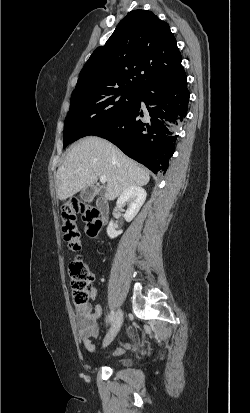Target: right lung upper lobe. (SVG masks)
<instances>
[{"mask_svg":"<svg viewBox=\"0 0 250 413\" xmlns=\"http://www.w3.org/2000/svg\"><path fill=\"white\" fill-rule=\"evenodd\" d=\"M169 25L151 11L134 10L118 24L80 72L72 94L121 87L142 88L184 72Z\"/></svg>","mask_w":250,"mask_h":413,"instance_id":"1","label":"right lung upper lobe"}]
</instances>
